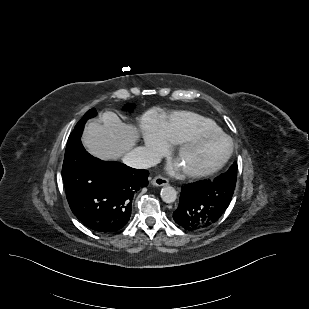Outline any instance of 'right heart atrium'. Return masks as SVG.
I'll return each instance as SVG.
<instances>
[{"mask_svg": "<svg viewBox=\"0 0 309 309\" xmlns=\"http://www.w3.org/2000/svg\"><path fill=\"white\" fill-rule=\"evenodd\" d=\"M144 155L149 159L158 157L164 150V141L159 133L152 127L147 126L143 130Z\"/></svg>", "mask_w": 309, "mask_h": 309, "instance_id": "1", "label": "right heart atrium"}]
</instances>
